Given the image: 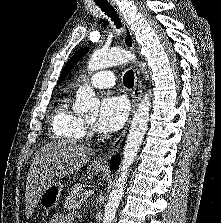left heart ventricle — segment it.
I'll return each mask as SVG.
<instances>
[{
  "label": "left heart ventricle",
  "mask_w": 221,
  "mask_h": 223,
  "mask_svg": "<svg viewBox=\"0 0 221 223\" xmlns=\"http://www.w3.org/2000/svg\"><path fill=\"white\" fill-rule=\"evenodd\" d=\"M87 121L93 123L95 121V117L87 118Z\"/></svg>",
  "instance_id": "left-heart-ventricle-1"
}]
</instances>
